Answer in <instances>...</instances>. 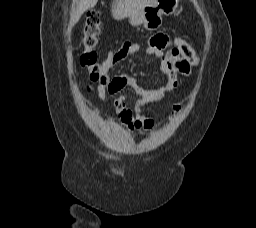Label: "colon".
Instances as JSON below:
<instances>
[{"mask_svg": "<svg viewBox=\"0 0 256 228\" xmlns=\"http://www.w3.org/2000/svg\"><path fill=\"white\" fill-rule=\"evenodd\" d=\"M101 28L102 22L99 13L96 11L88 13L83 27L82 45L84 49L80 56V63L87 69L92 80H99L103 75V65L99 62L97 53ZM174 45L180 55L190 65L197 64V56L189 43L177 38L174 41ZM114 52L110 53L108 56L112 55Z\"/></svg>", "mask_w": 256, "mask_h": 228, "instance_id": "colon-1", "label": "colon"}]
</instances>
